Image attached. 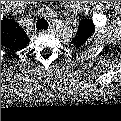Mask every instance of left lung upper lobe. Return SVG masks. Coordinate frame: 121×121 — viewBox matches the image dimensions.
I'll list each match as a JSON object with an SVG mask.
<instances>
[{
	"mask_svg": "<svg viewBox=\"0 0 121 121\" xmlns=\"http://www.w3.org/2000/svg\"><path fill=\"white\" fill-rule=\"evenodd\" d=\"M78 29V33L76 37L73 39V42L76 45V47L82 46L88 40V38L91 37L95 30L94 24L92 20H90L89 18L83 19L80 22Z\"/></svg>",
	"mask_w": 121,
	"mask_h": 121,
	"instance_id": "left-lung-upper-lobe-1",
	"label": "left lung upper lobe"
}]
</instances>
